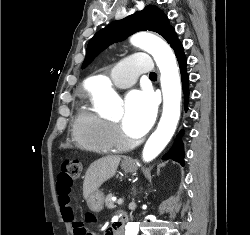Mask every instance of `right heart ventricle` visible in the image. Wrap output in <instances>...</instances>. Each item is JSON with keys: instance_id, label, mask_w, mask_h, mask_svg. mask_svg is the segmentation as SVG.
<instances>
[{"instance_id": "e07e8e85", "label": "right heart ventricle", "mask_w": 250, "mask_h": 235, "mask_svg": "<svg viewBox=\"0 0 250 235\" xmlns=\"http://www.w3.org/2000/svg\"><path fill=\"white\" fill-rule=\"evenodd\" d=\"M73 136L80 148L97 153H112L122 147L113 136L111 124L88 101H82L73 120Z\"/></svg>"}]
</instances>
